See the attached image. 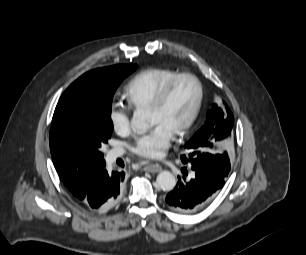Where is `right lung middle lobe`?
<instances>
[{"label": "right lung middle lobe", "instance_id": "right-lung-middle-lobe-1", "mask_svg": "<svg viewBox=\"0 0 306 255\" xmlns=\"http://www.w3.org/2000/svg\"><path fill=\"white\" fill-rule=\"evenodd\" d=\"M137 65H116L114 76L95 86H69L61 96L52 119L50 151L63 181L73 185L94 166L105 163L101 146L113 131L111 103L121 81Z\"/></svg>", "mask_w": 306, "mask_h": 255}]
</instances>
